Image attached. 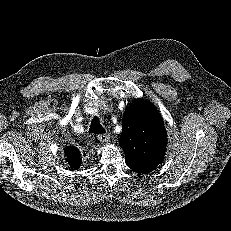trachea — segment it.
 Here are the masks:
<instances>
[{
	"label": "trachea",
	"mask_w": 231,
	"mask_h": 231,
	"mask_svg": "<svg viewBox=\"0 0 231 231\" xmlns=\"http://www.w3.org/2000/svg\"><path fill=\"white\" fill-rule=\"evenodd\" d=\"M89 133H93V134L105 133V128L101 125L100 120L97 116L94 117L91 121Z\"/></svg>",
	"instance_id": "1"
}]
</instances>
